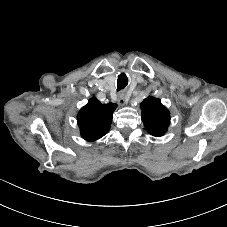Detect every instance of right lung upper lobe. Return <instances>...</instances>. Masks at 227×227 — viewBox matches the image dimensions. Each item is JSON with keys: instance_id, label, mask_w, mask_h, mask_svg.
Listing matches in <instances>:
<instances>
[{"instance_id": "cb5924a9", "label": "right lung upper lobe", "mask_w": 227, "mask_h": 227, "mask_svg": "<svg viewBox=\"0 0 227 227\" xmlns=\"http://www.w3.org/2000/svg\"><path fill=\"white\" fill-rule=\"evenodd\" d=\"M114 103L101 104L95 97L79 111L77 122L81 136L87 141H95L103 137L110 129Z\"/></svg>"}]
</instances>
